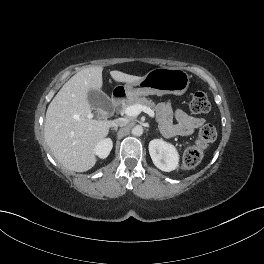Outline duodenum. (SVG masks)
<instances>
[{
	"mask_svg": "<svg viewBox=\"0 0 264 264\" xmlns=\"http://www.w3.org/2000/svg\"><path fill=\"white\" fill-rule=\"evenodd\" d=\"M125 97V93L124 91H120L115 93L112 98H111V103L114 107H117L121 101L123 100V98Z\"/></svg>",
	"mask_w": 264,
	"mask_h": 264,
	"instance_id": "obj_1",
	"label": "duodenum"
}]
</instances>
